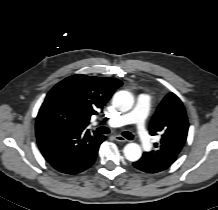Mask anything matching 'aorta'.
I'll use <instances>...</instances> for the list:
<instances>
[{
  "instance_id": "1",
  "label": "aorta",
  "mask_w": 218,
  "mask_h": 210,
  "mask_svg": "<svg viewBox=\"0 0 218 210\" xmlns=\"http://www.w3.org/2000/svg\"><path fill=\"white\" fill-rule=\"evenodd\" d=\"M113 104L121 111H129L133 104L134 98L128 91H119L113 96ZM124 155L129 161H137L142 155L141 147L136 143H128L123 149Z\"/></svg>"
}]
</instances>
